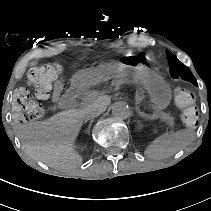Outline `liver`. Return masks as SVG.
Listing matches in <instances>:
<instances>
[{"label":"liver","instance_id":"obj_1","mask_svg":"<svg viewBox=\"0 0 211 211\" xmlns=\"http://www.w3.org/2000/svg\"><path fill=\"white\" fill-rule=\"evenodd\" d=\"M96 101L106 109L111 100L108 96H102ZM82 122L79 112L63 111L45 121L29 124L16 122L14 130L25 153L32 159L53 168L70 170L82 163L81 156L73 149Z\"/></svg>","mask_w":211,"mask_h":211}]
</instances>
